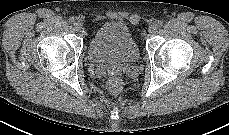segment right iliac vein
<instances>
[{
  "mask_svg": "<svg viewBox=\"0 0 229 135\" xmlns=\"http://www.w3.org/2000/svg\"><path fill=\"white\" fill-rule=\"evenodd\" d=\"M83 28V24L81 22H76L75 23V30L76 31H81Z\"/></svg>",
  "mask_w": 229,
  "mask_h": 135,
  "instance_id": "obj_1",
  "label": "right iliac vein"
}]
</instances>
